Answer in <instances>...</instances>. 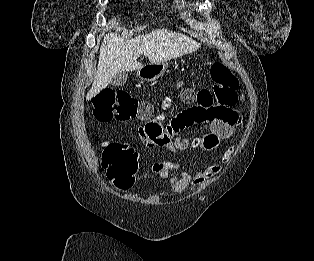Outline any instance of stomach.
<instances>
[{"label": "stomach", "mask_w": 314, "mask_h": 261, "mask_svg": "<svg viewBox=\"0 0 314 261\" xmlns=\"http://www.w3.org/2000/svg\"><path fill=\"white\" fill-rule=\"evenodd\" d=\"M168 68L167 62L149 63L137 71V76L142 82H153L159 79Z\"/></svg>", "instance_id": "stomach-1"}]
</instances>
